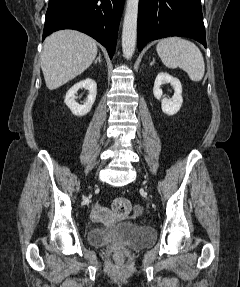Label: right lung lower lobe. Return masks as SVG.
Returning <instances> with one entry per match:
<instances>
[{
  "mask_svg": "<svg viewBox=\"0 0 240 287\" xmlns=\"http://www.w3.org/2000/svg\"><path fill=\"white\" fill-rule=\"evenodd\" d=\"M124 0H49L43 40L60 29L86 33L113 57Z\"/></svg>",
  "mask_w": 240,
  "mask_h": 287,
  "instance_id": "obj_1",
  "label": "right lung lower lobe"
}]
</instances>
